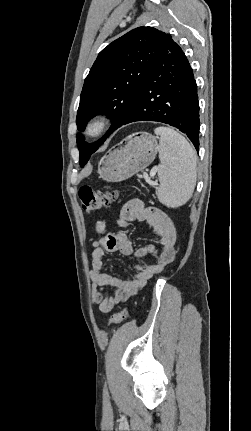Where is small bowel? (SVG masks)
<instances>
[{
  "label": "small bowel",
  "mask_w": 251,
  "mask_h": 431,
  "mask_svg": "<svg viewBox=\"0 0 251 431\" xmlns=\"http://www.w3.org/2000/svg\"><path fill=\"white\" fill-rule=\"evenodd\" d=\"M133 221L146 222L154 233V240L160 249L148 245L134 250L128 237L122 233H105L102 220L96 222L97 238L93 242L90 277L93 281L92 302L104 313H110L117 305L135 297L147 281L161 273L175 258L176 229L172 220L161 210L146 207L139 199H131L123 204L118 223L121 227ZM106 252H120L123 255L144 257L151 254L155 262L138 263L133 266L134 275L116 277L104 270L103 258ZM108 288L113 292L109 294Z\"/></svg>",
  "instance_id": "obj_1"
}]
</instances>
